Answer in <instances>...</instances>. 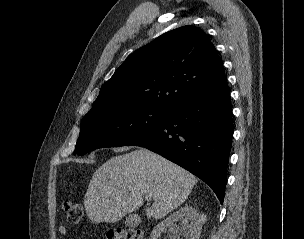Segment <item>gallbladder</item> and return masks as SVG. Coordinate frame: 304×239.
<instances>
[{
    "instance_id": "1",
    "label": "gallbladder",
    "mask_w": 304,
    "mask_h": 239,
    "mask_svg": "<svg viewBox=\"0 0 304 239\" xmlns=\"http://www.w3.org/2000/svg\"><path fill=\"white\" fill-rule=\"evenodd\" d=\"M136 218V215H129L125 220V225L129 227H135L137 225V222L135 220Z\"/></svg>"
}]
</instances>
